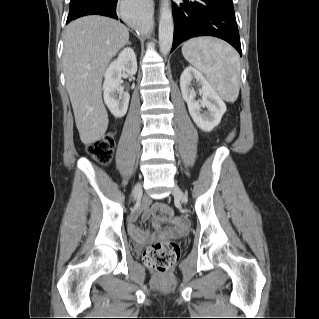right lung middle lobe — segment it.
Returning <instances> with one entry per match:
<instances>
[{
    "label": "right lung middle lobe",
    "mask_w": 319,
    "mask_h": 319,
    "mask_svg": "<svg viewBox=\"0 0 319 319\" xmlns=\"http://www.w3.org/2000/svg\"><path fill=\"white\" fill-rule=\"evenodd\" d=\"M80 1H82V0H71L70 5H69V9L74 8Z\"/></svg>",
    "instance_id": "1"
}]
</instances>
